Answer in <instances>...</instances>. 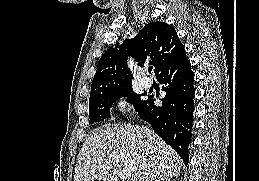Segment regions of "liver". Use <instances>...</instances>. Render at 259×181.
I'll return each mask as SVG.
<instances>
[{
	"mask_svg": "<svg viewBox=\"0 0 259 181\" xmlns=\"http://www.w3.org/2000/svg\"><path fill=\"white\" fill-rule=\"evenodd\" d=\"M124 156L125 160L117 159ZM132 169L130 181H156L180 174L182 160L157 134L134 125L97 129L82 145L74 181H117L121 164Z\"/></svg>",
	"mask_w": 259,
	"mask_h": 181,
	"instance_id": "1",
	"label": "liver"
}]
</instances>
